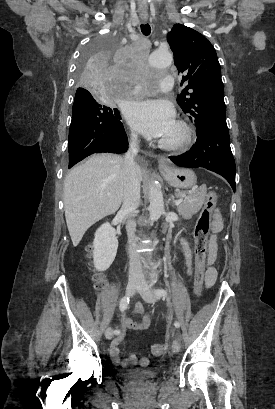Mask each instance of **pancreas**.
<instances>
[{
	"label": "pancreas",
	"instance_id": "cf45deb5",
	"mask_svg": "<svg viewBox=\"0 0 275 409\" xmlns=\"http://www.w3.org/2000/svg\"><path fill=\"white\" fill-rule=\"evenodd\" d=\"M206 194L207 188L194 190V192H187V190L176 192V196L183 198L181 205L177 207L179 215H182L183 219H191L192 215H196L200 211Z\"/></svg>",
	"mask_w": 275,
	"mask_h": 409
}]
</instances>
